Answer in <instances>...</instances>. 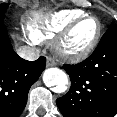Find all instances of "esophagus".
Wrapping results in <instances>:
<instances>
[{"instance_id": "obj_1", "label": "esophagus", "mask_w": 117, "mask_h": 117, "mask_svg": "<svg viewBox=\"0 0 117 117\" xmlns=\"http://www.w3.org/2000/svg\"><path fill=\"white\" fill-rule=\"evenodd\" d=\"M55 65H56L55 61L51 57L48 56L46 60V67H52Z\"/></svg>"}]
</instances>
